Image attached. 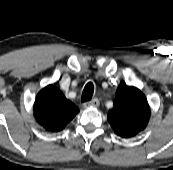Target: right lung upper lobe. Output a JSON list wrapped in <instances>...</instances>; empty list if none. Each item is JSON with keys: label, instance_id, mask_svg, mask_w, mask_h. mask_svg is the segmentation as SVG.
<instances>
[{"label": "right lung upper lobe", "instance_id": "cb5924a9", "mask_svg": "<svg viewBox=\"0 0 173 170\" xmlns=\"http://www.w3.org/2000/svg\"><path fill=\"white\" fill-rule=\"evenodd\" d=\"M78 112L79 109L53 85L43 88L36 96L34 116L47 131L62 130Z\"/></svg>", "mask_w": 173, "mask_h": 170}]
</instances>
